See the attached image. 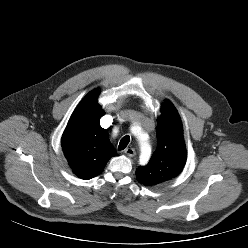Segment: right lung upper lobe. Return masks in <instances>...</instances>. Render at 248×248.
Instances as JSON below:
<instances>
[{
  "label": "right lung upper lobe",
  "mask_w": 248,
  "mask_h": 248,
  "mask_svg": "<svg viewBox=\"0 0 248 248\" xmlns=\"http://www.w3.org/2000/svg\"><path fill=\"white\" fill-rule=\"evenodd\" d=\"M99 90L91 91L77 106L62 136V149L73 173L81 179L98 176L116 156L108 134L100 126L104 111L97 103Z\"/></svg>",
  "instance_id": "cb5924a9"
}]
</instances>
